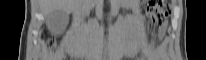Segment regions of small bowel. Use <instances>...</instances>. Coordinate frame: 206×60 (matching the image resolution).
<instances>
[{
  "mask_svg": "<svg viewBox=\"0 0 206 60\" xmlns=\"http://www.w3.org/2000/svg\"><path fill=\"white\" fill-rule=\"evenodd\" d=\"M164 32H165V27L162 26V27L160 28V36H162V35L164 34Z\"/></svg>",
  "mask_w": 206,
  "mask_h": 60,
  "instance_id": "c3829d8e",
  "label": "small bowel"
}]
</instances>
